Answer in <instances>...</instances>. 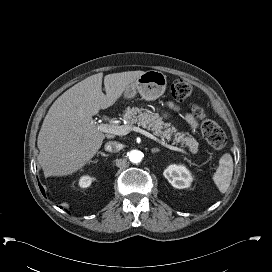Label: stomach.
Listing matches in <instances>:
<instances>
[{"instance_id": "stomach-1", "label": "stomach", "mask_w": 272, "mask_h": 272, "mask_svg": "<svg viewBox=\"0 0 272 272\" xmlns=\"http://www.w3.org/2000/svg\"><path fill=\"white\" fill-rule=\"evenodd\" d=\"M167 85V77L161 71L149 70L131 83L124 91L126 99H132L140 94L142 99L153 101L162 96ZM164 117H167L165 114Z\"/></svg>"}]
</instances>
